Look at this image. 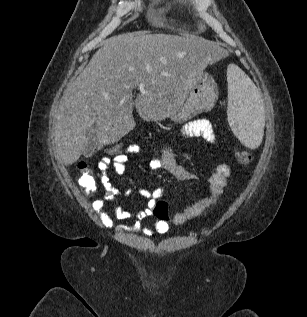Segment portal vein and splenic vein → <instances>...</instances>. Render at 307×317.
<instances>
[{
	"mask_svg": "<svg viewBox=\"0 0 307 317\" xmlns=\"http://www.w3.org/2000/svg\"><path fill=\"white\" fill-rule=\"evenodd\" d=\"M138 86H139V89H143L144 88V85L142 83H140Z\"/></svg>",
	"mask_w": 307,
	"mask_h": 317,
	"instance_id": "portal-vein-and-splenic-vein-1",
	"label": "portal vein and splenic vein"
}]
</instances>
